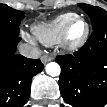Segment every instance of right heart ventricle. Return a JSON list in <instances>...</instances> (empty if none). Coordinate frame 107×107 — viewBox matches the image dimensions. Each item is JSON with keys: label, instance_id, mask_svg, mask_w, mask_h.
Returning a JSON list of instances; mask_svg holds the SVG:
<instances>
[{"label": "right heart ventricle", "instance_id": "1", "mask_svg": "<svg viewBox=\"0 0 107 107\" xmlns=\"http://www.w3.org/2000/svg\"><path fill=\"white\" fill-rule=\"evenodd\" d=\"M75 15L72 12L63 13L50 21L35 24L32 26L33 36L44 45L57 44L62 37L65 26Z\"/></svg>", "mask_w": 107, "mask_h": 107}]
</instances>
